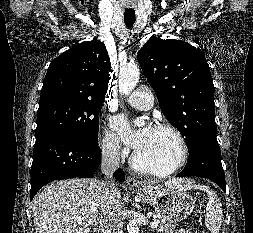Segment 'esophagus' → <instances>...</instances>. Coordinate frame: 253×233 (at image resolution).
<instances>
[{"mask_svg": "<svg viewBox=\"0 0 253 233\" xmlns=\"http://www.w3.org/2000/svg\"><path fill=\"white\" fill-rule=\"evenodd\" d=\"M126 182L130 187H136V186H142L143 185L142 182L137 181L135 178H133L131 176H127Z\"/></svg>", "mask_w": 253, "mask_h": 233, "instance_id": "1", "label": "esophagus"}]
</instances>
